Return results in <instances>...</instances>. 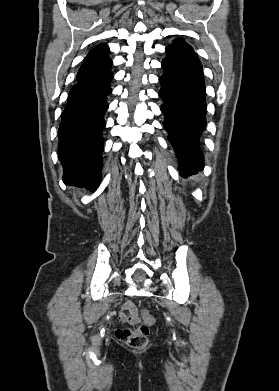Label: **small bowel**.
<instances>
[{"label": "small bowel", "mask_w": 279, "mask_h": 391, "mask_svg": "<svg viewBox=\"0 0 279 391\" xmlns=\"http://www.w3.org/2000/svg\"><path fill=\"white\" fill-rule=\"evenodd\" d=\"M119 319L123 323L136 325L140 322L138 309L131 301H126L119 313Z\"/></svg>", "instance_id": "obj_1"}]
</instances>
